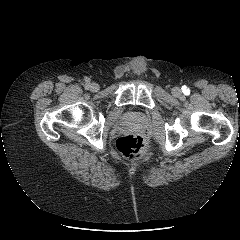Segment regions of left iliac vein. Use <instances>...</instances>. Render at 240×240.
Here are the masks:
<instances>
[{
    "label": "left iliac vein",
    "mask_w": 240,
    "mask_h": 240,
    "mask_svg": "<svg viewBox=\"0 0 240 240\" xmlns=\"http://www.w3.org/2000/svg\"><path fill=\"white\" fill-rule=\"evenodd\" d=\"M172 94H173L174 96L179 97V96L181 95V90H180L178 87H174V88L172 89Z\"/></svg>",
    "instance_id": "4c4485c4"
}]
</instances>
